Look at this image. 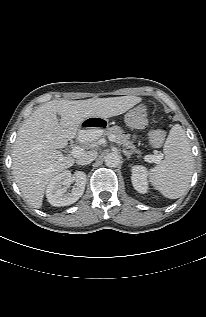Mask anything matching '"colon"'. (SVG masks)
Listing matches in <instances>:
<instances>
[{
  "mask_svg": "<svg viewBox=\"0 0 206 317\" xmlns=\"http://www.w3.org/2000/svg\"><path fill=\"white\" fill-rule=\"evenodd\" d=\"M147 121L148 112L144 106H137L125 115L126 124L133 128H142L147 124ZM166 134L167 129L165 127H160L158 129L153 130L150 134L151 144L155 147L160 146Z\"/></svg>",
  "mask_w": 206,
  "mask_h": 317,
  "instance_id": "1",
  "label": "colon"
}]
</instances>
